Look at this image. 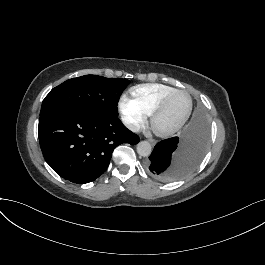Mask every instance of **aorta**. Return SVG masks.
Here are the masks:
<instances>
[{
    "instance_id": "aorta-1",
    "label": "aorta",
    "mask_w": 265,
    "mask_h": 265,
    "mask_svg": "<svg viewBox=\"0 0 265 265\" xmlns=\"http://www.w3.org/2000/svg\"><path fill=\"white\" fill-rule=\"evenodd\" d=\"M152 147L149 142L141 141L137 145V153L140 156L147 157L151 154Z\"/></svg>"
}]
</instances>
